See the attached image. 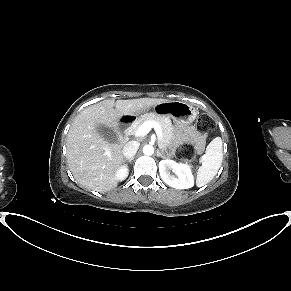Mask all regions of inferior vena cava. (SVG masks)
Listing matches in <instances>:
<instances>
[{
	"instance_id": "inferior-vena-cava-1",
	"label": "inferior vena cava",
	"mask_w": 291,
	"mask_h": 291,
	"mask_svg": "<svg viewBox=\"0 0 291 291\" xmlns=\"http://www.w3.org/2000/svg\"><path fill=\"white\" fill-rule=\"evenodd\" d=\"M139 148V143L136 141H129L128 143L125 144L123 147V155L126 158H132L135 156L137 150Z\"/></svg>"
}]
</instances>
